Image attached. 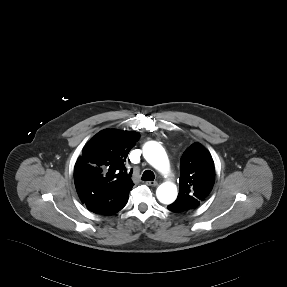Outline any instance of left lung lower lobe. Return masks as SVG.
I'll use <instances>...</instances> for the list:
<instances>
[{
	"instance_id": "left-lung-lower-lobe-1",
	"label": "left lung lower lobe",
	"mask_w": 287,
	"mask_h": 287,
	"mask_svg": "<svg viewBox=\"0 0 287 287\" xmlns=\"http://www.w3.org/2000/svg\"><path fill=\"white\" fill-rule=\"evenodd\" d=\"M167 208L170 210V211H173V212H176V213H179V209L176 208V206L173 205V203L171 205H168Z\"/></svg>"
}]
</instances>
